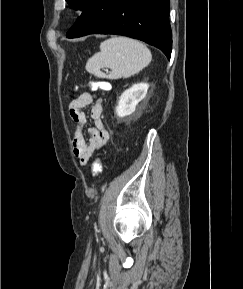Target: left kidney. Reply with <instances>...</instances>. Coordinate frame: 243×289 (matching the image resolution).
Returning <instances> with one entry per match:
<instances>
[{"label":"left kidney","mask_w":243,"mask_h":289,"mask_svg":"<svg viewBox=\"0 0 243 289\" xmlns=\"http://www.w3.org/2000/svg\"><path fill=\"white\" fill-rule=\"evenodd\" d=\"M149 85L147 83L134 84L119 97L116 114L119 117L131 115L137 104L146 97Z\"/></svg>","instance_id":"left-kidney-1"}]
</instances>
